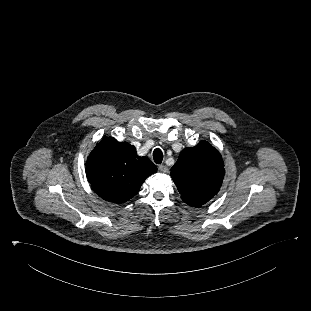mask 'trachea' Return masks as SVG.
<instances>
[{
	"instance_id": "3493384b",
	"label": "trachea",
	"mask_w": 311,
	"mask_h": 311,
	"mask_svg": "<svg viewBox=\"0 0 311 311\" xmlns=\"http://www.w3.org/2000/svg\"><path fill=\"white\" fill-rule=\"evenodd\" d=\"M153 159H154V162L156 164H161L162 160H163V153L161 151V149L159 148H156L154 151H153Z\"/></svg>"
}]
</instances>
